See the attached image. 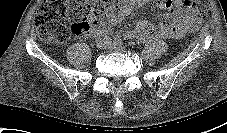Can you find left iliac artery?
<instances>
[{"mask_svg":"<svg viewBox=\"0 0 227 133\" xmlns=\"http://www.w3.org/2000/svg\"><path fill=\"white\" fill-rule=\"evenodd\" d=\"M113 42H114L115 45H122V43H123L122 39L119 36H116L114 38Z\"/></svg>","mask_w":227,"mask_h":133,"instance_id":"left-iliac-artery-1","label":"left iliac artery"}]
</instances>
